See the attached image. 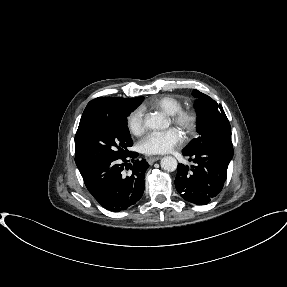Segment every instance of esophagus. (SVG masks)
<instances>
[{"label":"esophagus","instance_id":"34e87169","mask_svg":"<svg viewBox=\"0 0 287 287\" xmlns=\"http://www.w3.org/2000/svg\"><path fill=\"white\" fill-rule=\"evenodd\" d=\"M161 159V156L150 157L147 161L149 164H153L154 162Z\"/></svg>","mask_w":287,"mask_h":287}]
</instances>
